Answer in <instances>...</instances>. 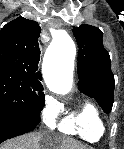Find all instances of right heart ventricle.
Returning <instances> with one entry per match:
<instances>
[{"label": "right heart ventricle", "mask_w": 124, "mask_h": 149, "mask_svg": "<svg viewBox=\"0 0 124 149\" xmlns=\"http://www.w3.org/2000/svg\"><path fill=\"white\" fill-rule=\"evenodd\" d=\"M59 130L68 135H77L90 143L98 142L106 132L105 121L99 109L85 103L78 111L67 115L59 124Z\"/></svg>", "instance_id": "1"}]
</instances>
